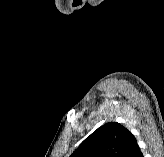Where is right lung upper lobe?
Returning <instances> with one entry per match:
<instances>
[{
	"instance_id": "right-lung-upper-lobe-1",
	"label": "right lung upper lobe",
	"mask_w": 164,
	"mask_h": 157,
	"mask_svg": "<svg viewBox=\"0 0 164 157\" xmlns=\"http://www.w3.org/2000/svg\"><path fill=\"white\" fill-rule=\"evenodd\" d=\"M136 144L128 129L109 122L86 138L70 157H127Z\"/></svg>"
}]
</instances>
